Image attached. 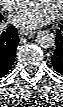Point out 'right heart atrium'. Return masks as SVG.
<instances>
[{
  "label": "right heart atrium",
  "instance_id": "d8ad5b80",
  "mask_svg": "<svg viewBox=\"0 0 63 107\" xmlns=\"http://www.w3.org/2000/svg\"><path fill=\"white\" fill-rule=\"evenodd\" d=\"M2 3L6 10L11 11L20 4V1L19 0H3Z\"/></svg>",
  "mask_w": 63,
  "mask_h": 107
}]
</instances>
